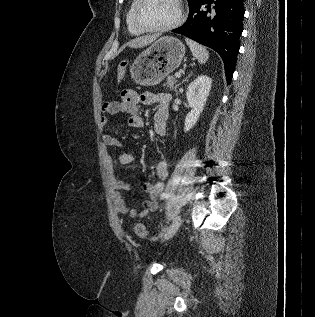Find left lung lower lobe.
<instances>
[{
	"label": "left lung lower lobe",
	"mask_w": 315,
	"mask_h": 317,
	"mask_svg": "<svg viewBox=\"0 0 315 317\" xmlns=\"http://www.w3.org/2000/svg\"><path fill=\"white\" fill-rule=\"evenodd\" d=\"M243 1L193 0L187 21L172 30L215 50L223 60L227 84L231 82L240 48Z\"/></svg>",
	"instance_id": "left-lung-lower-lobe-1"
}]
</instances>
